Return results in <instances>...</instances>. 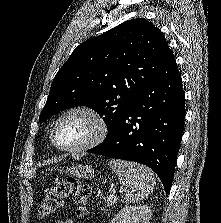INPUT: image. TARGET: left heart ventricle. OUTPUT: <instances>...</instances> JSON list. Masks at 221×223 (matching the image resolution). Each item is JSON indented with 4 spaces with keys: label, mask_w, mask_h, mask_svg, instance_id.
I'll return each instance as SVG.
<instances>
[{
    "label": "left heart ventricle",
    "mask_w": 221,
    "mask_h": 223,
    "mask_svg": "<svg viewBox=\"0 0 221 223\" xmlns=\"http://www.w3.org/2000/svg\"><path fill=\"white\" fill-rule=\"evenodd\" d=\"M94 131L95 123L89 116L73 113L60 122L56 140L62 146H76L88 140Z\"/></svg>",
    "instance_id": "left-heart-ventricle-1"
}]
</instances>
